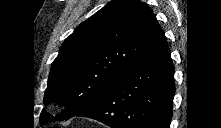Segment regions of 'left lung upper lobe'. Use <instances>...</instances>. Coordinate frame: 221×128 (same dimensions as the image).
<instances>
[{
	"mask_svg": "<svg viewBox=\"0 0 221 128\" xmlns=\"http://www.w3.org/2000/svg\"><path fill=\"white\" fill-rule=\"evenodd\" d=\"M163 31L139 0H113L81 23L53 61L44 104L66 109L40 121L66 120L93 105L157 42Z\"/></svg>",
	"mask_w": 221,
	"mask_h": 128,
	"instance_id": "1",
	"label": "left lung upper lobe"
}]
</instances>
